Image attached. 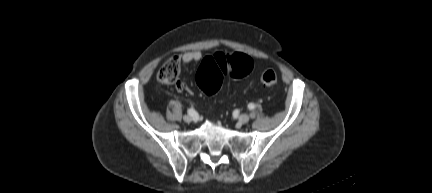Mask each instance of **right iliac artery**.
<instances>
[{"label":"right iliac artery","instance_id":"obj_1","mask_svg":"<svg viewBox=\"0 0 432 193\" xmlns=\"http://www.w3.org/2000/svg\"><path fill=\"white\" fill-rule=\"evenodd\" d=\"M188 114L190 116H195L196 115V111L193 108L188 109Z\"/></svg>","mask_w":432,"mask_h":193}]
</instances>
